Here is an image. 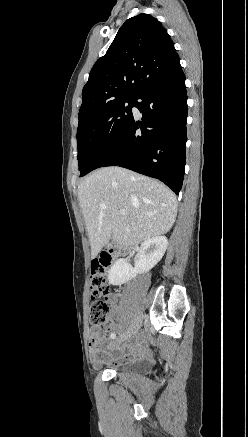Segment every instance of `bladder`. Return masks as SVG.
<instances>
[{
    "instance_id": "31cf9c89",
    "label": "bladder",
    "mask_w": 248,
    "mask_h": 437,
    "mask_svg": "<svg viewBox=\"0 0 248 437\" xmlns=\"http://www.w3.org/2000/svg\"><path fill=\"white\" fill-rule=\"evenodd\" d=\"M145 371H146L145 367L138 366V365H128V366L121 367V368L117 369V372L119 374H128V375L142 374Z\"/></svg>"
}]
</instances>
